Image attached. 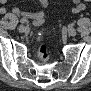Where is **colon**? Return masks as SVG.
Here are the masks:
<instances>
[{"label":"colon","mask_w":91,"mask_h":91,"mask_svg":"<svg viewBox=\"0 0 91 91\" xmlns=\"http://www.w3.org/2000/svg\"><path fill=\"white\" fill-rule=\"evenodd\" d=\"M42 37L37 38V41L41 40ZM50 56V51L47 45L45 44H40L38 47V59L41 61H46Z\"/></svg>","instance_id":"colon-1"}]
</instances>
